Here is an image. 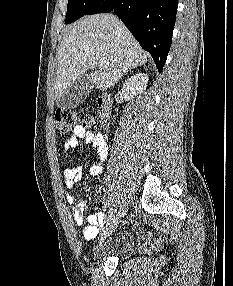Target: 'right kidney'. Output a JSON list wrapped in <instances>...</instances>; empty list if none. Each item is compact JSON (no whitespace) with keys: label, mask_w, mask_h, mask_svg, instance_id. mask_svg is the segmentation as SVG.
Wrapping results in <instances>:
<instances>
[{"label":"right kidney","mask_w":233,"mask_h":286,"mask_svg":"<svg viewBox=\"0 0 233 286\" xmlns=\"http://www.w3.org/2000/svg\"><path fill=\"white\" fill-rule=\"evenodd\" d=\"M148 80V75L145 73H137L131 76L122 87L125 99L131 100L136 95L142 94L147 87Z\"/></svg>","instance_id":"obj_1"}]
</instances>
